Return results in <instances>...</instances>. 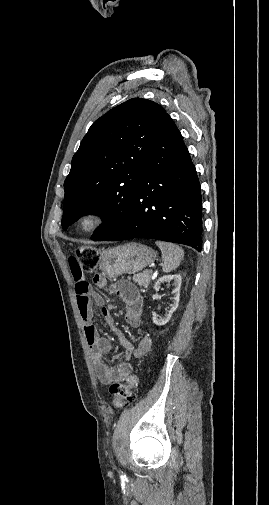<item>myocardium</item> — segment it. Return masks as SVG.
Returning a JSON list of instances; mask_svg holds the SVG:
<instances>
[{
  "instance_id": "1",
  "label": "myocardium",
  "mask_w": 269,
  "mask_h": 505,
  "mask_svg": "<svg viewBox=\"0 0 269 505\" xmlns=\"http://www.w3.org/2000/svg\"><path fill=\"white\" fill-rule=\"evenodd\" d=\"M106 210L100 207H89L79 213L75 226L83 234H90L101 228L107 221Z\"/></svg>"
}]
</instances>
